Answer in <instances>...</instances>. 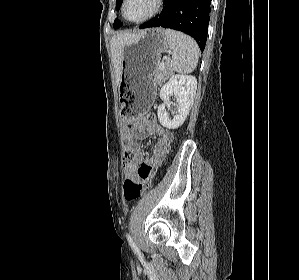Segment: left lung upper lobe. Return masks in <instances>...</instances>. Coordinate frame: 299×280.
I'll use <instances>...</instances> for the list:
<instances>
[{
	"mask_svg": "<svg viewBox=\"0 0 299 280\" xmlns=\"http://www.w3.org/2000/svg\"><path fill=\"white\" fill-rule=\"evenodd\" d=\"M116 2H117V3H116V9L118 10V9L120 8V6H121L122 0H117ZM121 26H122L121 21H119L118 19H115L114 24H113V27H114L115 29H117V28H119V27H121Z\"/></svg>",
	"mask_w": 299,
	"mask_h": 280,
	"instance_id": "obj_1",
	"label": "left lung upper lobe"
}]
</instances>
